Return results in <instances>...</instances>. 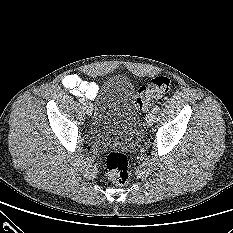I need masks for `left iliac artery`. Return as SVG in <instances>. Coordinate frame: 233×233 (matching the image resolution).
Instances as JSON below:
<instances>
[{"label": "left iliac artery", "instance_id": "1", "mask_svg": "<svg viewBox=\"0 0 233 233\" xmlns=\"http://www.w3.org/2000/svg\"><path fill=\"white\" fill-rule=\"evenodd\" d=\"M159 109H160L159 105H155V106L153 107V111H155V112H157Z\"/></svg>", "mask_w": 233, "mask_h": 233}]
</instances>
